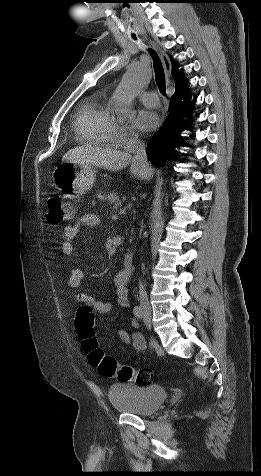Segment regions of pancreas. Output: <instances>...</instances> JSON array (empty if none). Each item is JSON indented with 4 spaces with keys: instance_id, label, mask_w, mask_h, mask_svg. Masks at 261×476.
Here are the masks:
<instances>
[{
    "instance_id": "obj_1",
    "label": "pancreas",
    "mask_w": 261,
    "mask_h": 476,
    "mask_svg": "<svg viewBox=\"0 0 261 476\" xmlns=\"http://www.w3.org/2000/svg\"><path fill=\"white\" fill-rule=\"evenodd\" d=\"M100 198L107 203V206H110L112 211L117 210L121 207L122 201L116 193H105L100 196Z\"/></svg>"
}]
</instances>
